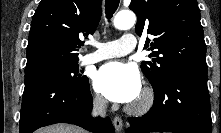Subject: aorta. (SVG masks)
<instances>
[{
    "mask_svg": "<svg viewBox=\"0 0 221 133\" xmlns=\"http://www.w3.org/2000/svg\"><path fill=\"white\" fill-rule=\"evenodd\" d=\"M136 15L132 11H120L113 20L114 27L119 30H126L134 26Z\"/></svg>",
    "mask_w": 221,
    "mask_h": 133,
    "instance_id": "1",
    "label": "aorta"
}]
</instances>
